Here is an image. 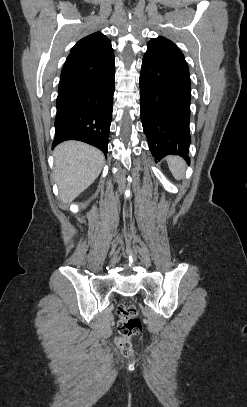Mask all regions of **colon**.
Here are the masks:
<instances>
[{
    "label": "colon",
    "mask_w": 247,
    "mask_h": 407,
    "mask_svg": "<svg viewBox=\"0 0 247 407\" xmlns=\"http://www.w3.org/2000/svg\"><path fill=\"white\" fill-rule=\"evenodd\" d=\"M118 314V337L116 345L124 356H130L133 353L130 339L141 333L142 322L137 315V310L133 305L122 304L117 309Z\"/></svg>",
    "instance_id": "obj_1"
}]
</instances>
